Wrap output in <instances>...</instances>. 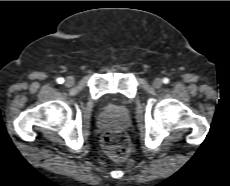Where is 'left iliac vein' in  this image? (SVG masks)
<instances>
[{"label": "left iliac vein", "mask_w": 230, "mask_h": 186, "mask_svg": "<svg viewBox=\"0 0 230 186\" xmlns=\"http://www.w3.org/2000/svg\"><path fill=\"white\" fill-rule=\"evenodd\" d=\"M163 85V81L161 78H155L153 81V86L155 88H160Z\"/></svg>", "instance_id": "obj_1"}]
</instances>
